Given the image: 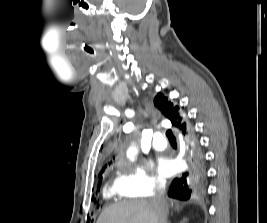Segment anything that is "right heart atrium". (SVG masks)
<instances>
[{"mask_svg":"<svg viewBox=\"0 0 267 223\" xmlns=\"http://www.w3.org/2000/svg\"><path fill=\"white\" fill-rule=\"evenodd\" d=\"M121 188L129 195L150 197L161 191L165 181L147 166H128L119 177Z\"/></svg>","mask_w":267,"mask_h":223,"instance_id":"1","label":"right heart atrium"}]
</instances>
